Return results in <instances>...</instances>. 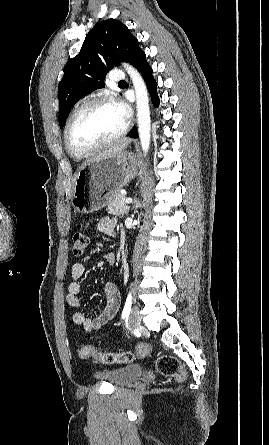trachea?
Segmentation results:
<instances>
[{
	"mask_svg": "<svg viewBox=\"0 0 269 445\" xmlns=\"http://www.w3.org/2000/svg\"><path fill=\"white\" fill-rule=\"evenodd\" d=\"M119 83H125V81L123 80V81H120Z\"/></svg>",
	"mask_w": 269,
	"mask_h": 445,
	"instance_id": "trachea-1",
	"label": "trachea"
}]
</instances>
